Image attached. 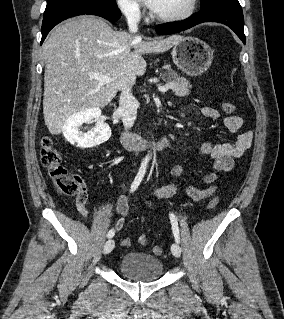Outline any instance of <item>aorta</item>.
Returning a JSON list of instances; mask_svg holds the SVG:
<instances>
[{"label":"aorta","instance_id":"762f6f07","mask_svg":"<svg viewBox=\"0 0 284 319\" xmlns=\"http://www.w3.org/2000/svg\"><path fill=\"white\" fill-rule=\"evenodd\" d=\"M150 157H151V155H150V154H147L146 158L149 159Z\"/></svg>","mask_w":284,"mask_h":319}]
</instances>
